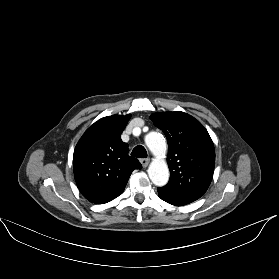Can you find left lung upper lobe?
Segmentation results:
<instances>
[{
    "label": "left lung upper lobe",
    "mask_w": 279,
    "mask_h": 279,
    "mask_svg": "<svg viewBox=\"0 0 279 279\" xmlns=\"http://www.w3.org/2000/svg\"><path fill=\"white\" fill-rule=\"evenodd\" d=\"M150 119L164 132L169 146L171 177L158 193L188 203L199 199L211 183L215 165L214 145L207 130L180 111L154 113Z\"/></svg>",
    "instance_id": "1"
}]
</instances>
